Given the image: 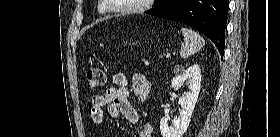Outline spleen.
<instances>
[{"label": "spleen", "instance_id": "obj_1", "mask_svg": "<svg viewBox=\"0 0 280 137\" xmlns=\"http://www.w3.org/2000/svg\"><path fill=\"white\" fill-rule=\"evenodd\" d=\"M181 31L184 36V45L181 47L180 56L188 58L199 51L205 45V41L202 36L189 28L184 27Z\"/></svg>", "mask_w": 280, "mask_h": 137}]
</instances>
